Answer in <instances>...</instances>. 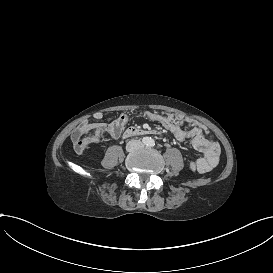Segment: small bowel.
<instances>
[{
    "mask_svg": "<svg viewBox=\"0 0 273 273\" xmlns=\"http://www.w3.org/2000/svg\"><path fill=\"white\" fill-rule=\"evenodd\" d=\"M143 117L149 121L157 122L169 130L178 141L190 139L195 150L203 154L199 159L197 170L200 173L211 171L218 163L220 145L204 133V127L196 120L177 113L145 112ZM103 113L96 112L93 115V127L88 130L91 139L88 144L95 143L103 134H109L114 138L122 135L123 130L130 122L127 113H121L113 121L105 123L102 121Z\"/></svg>",
    "mask_w": 273,
    "mask_h": 273,
    "instance_id": "c3829d8e",
    "label": "small bowel"
}]
</instances>
